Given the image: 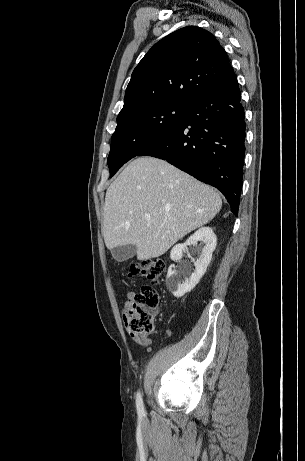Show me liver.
I'll use <instances>...</instances> for the list:
<instances>
[{"instance_id":"obj_1","label":"liver","mask_w":305,"mask_h":461,"mask_svg":"<svg viewBox=\"0 0 305 461\" xmlns=\"http://www.w3.org/2000/svg\"><path fill=\"white\" fill-rule=\"evenodd\" d=\"M221 207L213 188L163 160L140 157L106 191L105 245L112 250L132 244L138 260L156 258L211 221ZM145 214L151 215L150 221Z\"/></svg>"}]
</instances>
